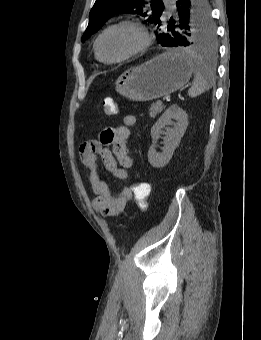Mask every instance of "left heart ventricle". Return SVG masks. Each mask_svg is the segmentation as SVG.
Wrapping results in <instances>:
<instances>
[{"label": "left heart ventricle", "mask_w": 261, "mask_h": 340, "mask_svg": "<svg viewBox=\"0 0 261 340\" xmlns=\"http://www.w3.org/2000/svg\"><path fill=\"white\" fill-rule=\"evenodd\" d=\"M141 41L139 32L130 26H119L109 30L99 44L100 55L115 59L134 50Z\"/></svg>", "instance_id": "b2bd125f"}]
</instances>
